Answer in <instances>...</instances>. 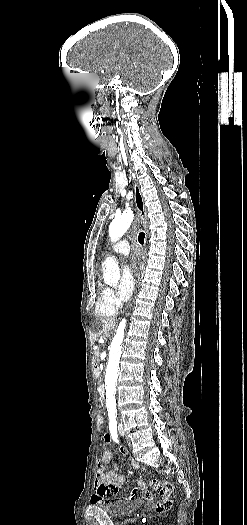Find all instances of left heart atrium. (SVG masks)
<instances>
[{
    "mask_svg": "<svg viewBox=\"0 0 247 525\" xmlns=\"http://www.w3.org/2000/svg\"><path fill=\"white\" fill-rule=\"evenodd\" d=\"M146 266V256L140 250H135L129 259V264L122 269L123 286L122 296L128 298L132 293L135 285V277H139Z\"/></svg>",
    "mask_w": 247,
    "mask_h": 525,
    "instance_id": "left-heart-atrium-1",
    "label": "left heart atrium"
}]
</instances>
